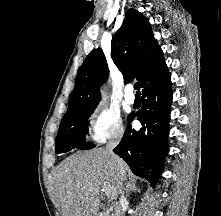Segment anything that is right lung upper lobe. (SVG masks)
<instances>
[{
	"label": "right lung upper lobe",
	"mask_w": 221,
	"mask_h": 216,
	"mask_svg": "<svg viewBox=\"0 0 221 216\" xmlns=\"http://www.w3.org/2000/svg\"><path fill=\"white\" fill-rule=\"evenodd\" d=\"M111 57L123 73L124 82L137 79L142 88L167 70L163 52L153 37L149 21L138 11L129 9L122 26L111 43ZM106 58L94 49L78 71L75 88L63 118L96 108L99 87L108 77Z\"/></svg>",
	"instance_id": "cb5924a9"
}]
</instances>
